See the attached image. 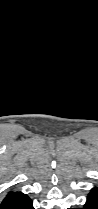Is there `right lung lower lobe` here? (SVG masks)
Masks as SVG:
<instances>
[{"label": "right lung lower lobe", "mask_w": 98, "mask_h": 209, "mask_svg": "<svg viewBox=\"0 0 98 209\" xmlns=\"http://www.w3.org/2000/svg\"><path fill=\"white\" fill-rule=\"evenodd\" d=\"M1 209H34L31 199L22 192L10 191L0 201Z\"/></svg>", "instance_id": "obj_1"}]
</instances>
